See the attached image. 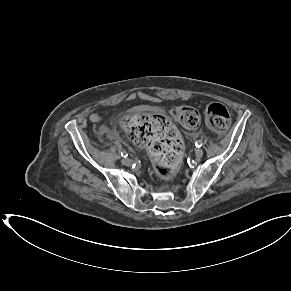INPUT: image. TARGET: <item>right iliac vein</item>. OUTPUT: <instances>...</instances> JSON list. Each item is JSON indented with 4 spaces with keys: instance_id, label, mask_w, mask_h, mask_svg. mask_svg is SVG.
<instances>
[{
    "instance_id": "1",
    "label": "right iliac vein",
    "mask_w": 291,
    "mask_h": 291,
    "mask_svg": "<svg viewBox=\"0 0 291 291\" xmlns=\"http://www.w3.org/2000/svg\"><path fill=\"white\" fill-rule=\"evenodd\" d=\"M122 163H123L124 165H126V166H129V165L132 164V161H131V159L125 157V158L122 159Z\"/></svg>"
}]
</instances>
